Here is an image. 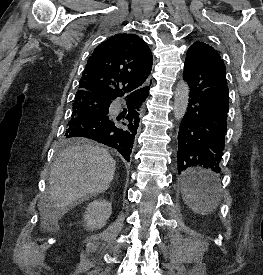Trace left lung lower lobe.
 Returning <instances> with one entry per match:
<instances>
[{
  "instance_id": "1",
  "label": "left lung lower lobe",
  "mask_w": 263,
  "mask_h": 275,
  "mask_svg": "<svg viewBox=\"0 0 263 275\" xmlns=\"http://www.w3.org/2000/svg\"><path fill=\"white\" fill-rule=\"evenodd\" d=\"M189 104L178 133V173L201 187L221 171L229 110L226 68L211 52H190L184 64Z\"/></svg>"
}]
</instances>
